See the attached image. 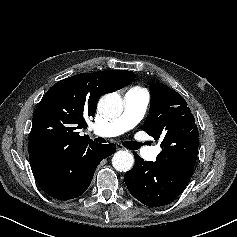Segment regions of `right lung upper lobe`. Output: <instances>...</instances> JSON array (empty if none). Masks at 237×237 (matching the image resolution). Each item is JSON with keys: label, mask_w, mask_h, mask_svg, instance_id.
<instances>
[{"label": "right lung upper lobe", "mask_w": 237, "mask_h": 237, "mask_svg": "<svg viewBox=\"0 0 237 237\" xmlns=\"http://www.w3.org/2000/svg\"><path fill=\"white\" fill-rule=\"evenodd\" d=\"M126 70L81 73L55 83L33 114L28 152L33 173L58 166L79 148L94 143L80 136L85 118L94 117L99 98L135 79Z\"/></svg>", "instance_id": "obj_1"}]
</instances>
